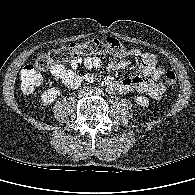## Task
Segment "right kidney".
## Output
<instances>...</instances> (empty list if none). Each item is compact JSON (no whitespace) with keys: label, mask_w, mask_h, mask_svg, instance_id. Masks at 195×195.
Returning a JSON list of instances; mask_svg holds the SVG:
<instances>
[{"label":"right kidney","mask_w":195,"mask_h":195,"mask_svg":"<svg viewBox=\"0 0 195 195\" xmlns=\"http://www.w3.org/2000/svg\"><path fill=\"white\" fill-rule=\"evenodd\" d=\"M60 95V90L57 88H50L48 90H46L45 92L42 93L41 95V104L43 106H47L52 104L55 99L57 98V96Z\"/></svg>","instance_id":"right-kidney-1"}]
</instances>
